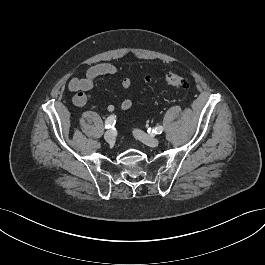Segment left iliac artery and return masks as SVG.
I'll use <instances>...</instances> for the list:
<instances>
[{"mask_svg":"<svg viewBox=\"0 0 265 265\" xmlns=\"http://www.w3.org/2000/svg\"><path fill=\"white\" fill-rule=\"evenodd\" d=\"M163 131V127L162 126H157L155 127L154 129L151 130V128H149L148 132H152V133H155V134H161Z\"/></svg>","mask_w":265,"mask_h":265,"instance_id":"44dca946","label":"left iliac artery"}]
</instances>
